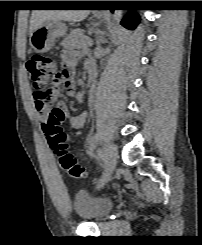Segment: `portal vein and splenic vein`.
Returning <instances> with one entry per match:
<instances>
[{
    "mask_svg": "<svg viewBox=\"0 0 202 245\" xmlns=\"http://www.w3.org/2000/svg\"><path fill=\"white\" fill-rule=\"evenodd\" d=\"M88 44H92L91 39H87Z\"/></svg>",
    "mask_w": 202,
    "mask_h": 245,
    "instance_id": "1",
    "label": "portal vein and splenic vein"
}]
</instances>
